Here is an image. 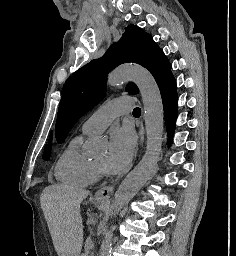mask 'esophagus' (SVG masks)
<instances>
[{
	"label": "esophagus",
	"instance_id": "1",
	"mask_svg": "<svg viewBox=\"0 0 236 256\" xmlns=\"http://www.w3.org/2000/svg\"><path fill=\"white\" fill-rule=\"evenodd\" d=\"M138 127H139V131H138L139 141H140V145H142L144 141V136H145L143 121L139 122ZM113 192H114V186H103L98 191H96L94 197L95 199H98V200H109Z\"/></svg>",
	"mask_w": 236,
	"mask_h": 256
}]
</instances>
